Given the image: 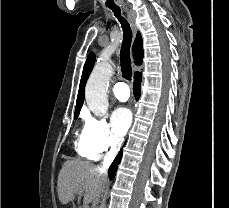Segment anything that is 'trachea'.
<instances>
[{
  "label": "trachea",
  "instance_id": "trachea-1",
  "mask_svg": "<svg viewBox=\"0 0 229 208\" xmlns=\"http://www.w3.org/2000/svg\"><path fill=\"white\" fill-rule=\"evenodd\" d=\"M114 13V16L120 21L123 30V42L120 50V64L122 75L126 80L132 79V68L130 58V46L132 42L131 27L127 20L121 16V10L119 7H108Z\"/></svg>",
  "mask_w": 229,
  "mask_h": 208
}]
</instances>
